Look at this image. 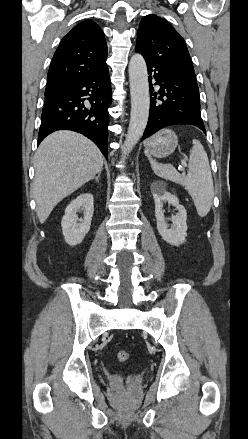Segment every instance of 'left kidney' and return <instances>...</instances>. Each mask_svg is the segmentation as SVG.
I'll return each mask as SVG.
<instances>
[{"label":"left kidney","instance_id":"5707ae66","mask_svg":"<svg viewBox=\"0 0 248 439\" xmlns=\"http://www.w3.org/2000/svg\"><path fill=\"white\" fill-rule=\"evenodd\" d=\"M151 192L155 202V217L160 236L173 246L183 244L187 237V213L184 206L179 204V199L174 194L166 191L165 185L162 182H154L151 185ZM165 202L174 206L178 211L171 218V228H169L164 216L163 204Z\"/></svg>","mask_w":248,"mask_h":439}]
</instances>
